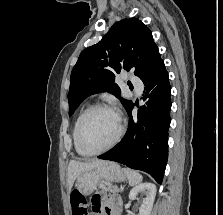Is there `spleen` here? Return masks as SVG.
<instances>
[{"label":"spleen","instance_id":"obj_1","mask_svg":"<svg viewBox=\"0 0 223 215\" xmlns=\"http://www.w3.org/2000/svg\"><path fill=\"white\" fill-rule=\"evenodd\" d=\"M123 171L128 177L129 185H137V183H141V173H138V171H133V169H129V167H123Z\"/></svg>","mask_w":223,"mask_h":215}]
</instances>
